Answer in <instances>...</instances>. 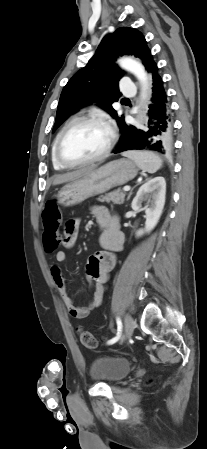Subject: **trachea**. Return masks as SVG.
<instances>
[{"mask_svg":"<svg viewBox=\"0 0 207 449\" xmlns=\"http://www.w3.org/2000/svg\"><path fill=\"white\" fill-rule=\"evenodd\" d=\"M127 100H128L127 98H123V99H122V101H127Z\"/></svg>","mask_w":207,"mask_h":449,"instance_id":"obj_1","label":"trachea"}]
</instances>
